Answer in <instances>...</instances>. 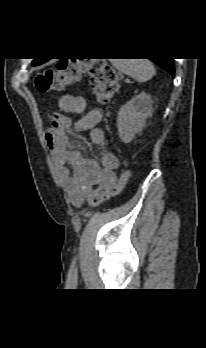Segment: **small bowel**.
Listing matches in <instances>:
<instances>
[{"mask_svg": "<svg viewBox=\"0 0 206 348\" xmlns=\"http://www.w3.org/2000/svg\"><path fill=\"white\" fill-rule=\"evenodd\" d=\"M59 107L65 113L83 114L73 128L76 132L89 131L91 143L101 149L100 163L87 160L80 151L71 148L67 130L71 120L62 113H53L44 132L51 150L57 175L64 186L71 204L81 206L94 185H113L117 181L116 171L119 159L111 152L103 150L104 132L97 127L102 119L100 110L86 112L84 97L66 94L60 97Z\"/></svg>", "mask_w": 206, "mask_h": 348, "instance_id": "small-bowel-1", "label": "small bowel"}]
</instances>
